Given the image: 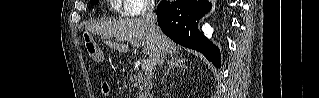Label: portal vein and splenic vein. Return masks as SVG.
Returning <instances> with one entry per match:
<instances>
[{"label":"portal vein and splenic vein","mask_w":319,"mask_h":98,"mask_svg":"<svg viewBox=\"0 0 319 98\" xmlns=\"http://www.w3.org/2000/svg\"><path fill=\"white\" fill-rule=\"evenodd\" d=\"M117 39H121V38H119V37H117ZM134 47H138L139 46V43L138 42H136L135 40H128ZM142 70L144 71V72H149V71H152V69H153V63H152V61L151 60H148V59H146V60H144L143 62H142Z\"/></svg>","instance_id":"18ae733b"}]
</instances>
